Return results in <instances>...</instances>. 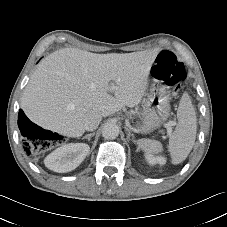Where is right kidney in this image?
Here are the masks:
<instances>
[{
    "label": "right kidney",
    "instance_id": "ca27d5eb",
    "mask_svg": "<svg viewBox=\"0 0 227 227\" xmlns=\"http://www.w3.org/2000/svg\"><path fill=\"white\" fill-rule=\"evenodd\" d=\"M89 150V145L85 143L65 144L50 153L44 163L48 169L55 172H70L81 164Z\"/></svg>",
    "mask_w": 227,
    "mask_h": 227
}]
</instances>
